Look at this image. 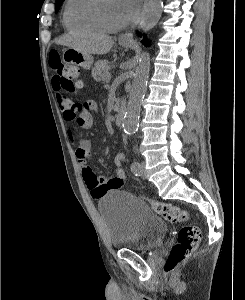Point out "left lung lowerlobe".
I'll list each match as a JSON object with an SVG mask.
<instances>
[{"label": "left lung lower lobe", "mask_w": 245, "mask_h": 300, "mask_svg": "<svg viewBox=\"0 0 245 300\" xmlns=\"http://www.w3.org/2000/svg\"><path fill=\"white\" fill-rule=\"evenodd\" d=\"M142 42L144 43V45H147V42L145 41V38H144V40Z\"/></svg>", "instance_id": "obj_1"}]
</instances>
